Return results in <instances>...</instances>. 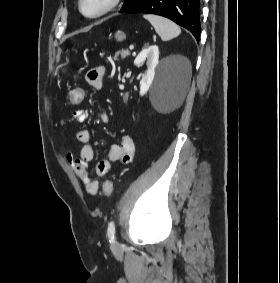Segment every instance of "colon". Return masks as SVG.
I'll use <instances>...</instances> for the list:
<instances>
[{
	"label": "colon",
	"instance_id": "colon-1",
	"mask_svg": "<svg viewBox=\"0 0 280 283\" xmlns=\"http://www.w3.org/2000/svg\"><path fill=\"white\" fill-rule=\"evenodd\" d=\"M86 88L84 84H75V87H72V90H68V101L69 105H72L73 108H76L77 105H82V102H85ZM113 191V182L111 180H107L103 186V195L108 197L111 195Z\"/></svg>",
	"mask_w": 280,
	"mask_h": 283
}]
</instances>
